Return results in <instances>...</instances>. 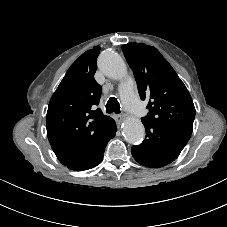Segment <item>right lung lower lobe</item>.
I'll return each mask as SVG.
<instances>
[{
  "mask_svg": "<svg viewBox=\"0 0 227 227\" xmlns=\"http://www.w3.org/2000/svg\"><path fill=\"white\" fill-rule=\"evenodd\" d=\"M116 131H117L116 123L114 120H112L110 124L107 126L102 141L96 147V149L91 153L86 154L66 164V166L74 171L88 170L97 166L103 160V153L105 151V147L108 141L115 136Z\"/></svg>",
  "mask_w": 227,
  "mask_h": 227,
  "instance_id": "98d812e1",
  "label": "right lung lower lobe"
}]
</instances>
